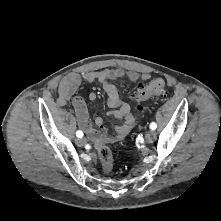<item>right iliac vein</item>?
<instances>
[{
    "instance_id": "63e3f726",
    "label": "right iliac vein",
    "mask_w": 221,
    "mask_h": 221,
    "mask_svg": "<svg viewBox=\"0 0 221 221\" xmlns=\"http://www.w3.org/2000/svg\"><path fill=\"white\" fill-rule=\"evenodd\" d=\"M86 142H87V140L85 138H79V139L76 140V144L78 146H83V145L86 144Z\"/></svg>"
}]
</instances>
